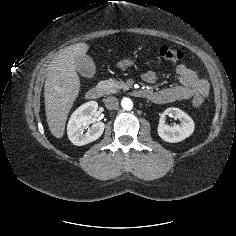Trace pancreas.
<instances>
[{
    "label": "pancreas",
    "mask_w": 236,
    "mask_h": 236,
    "mask_svg": "<svg viewBox=\"0 0 236 236\" xmlns=\"http://www.w3.org/2000/svg\"><path fill=\"white\" fill-rule=\"evenodd\" d=\"M104 85V92L105 94H113L116 93L118 90L123 89L127 90L128 86L124 82H118L116 80H105L102 82Z\"/></svg>",
    "instance_id": "obj_1"
}]
</instances>
